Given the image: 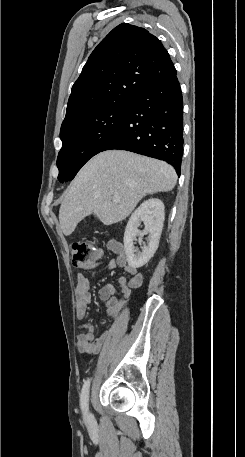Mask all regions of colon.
Listing matches in <instances>:
<instances>
[{
    "label": "colon",
    "mask_w": 245,
    "mask_h": 457,
    "mask_svg": "<svg viewBox=\"0 0 245 457\" xmlns=\"http://www.w3.org/2000/svg\"><path fill=\"white\" fill-rule=\"evenodd\" d=\"M72 264L76 267L85 265L94 258L97 250L90 241L75 242L69 248Z\"/></svg>",
    "instance_id": "1"
}]
</instances>
